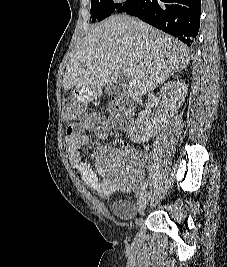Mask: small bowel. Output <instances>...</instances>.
<instances>
[{
  "instance_id": "1",
  "label": "small bowel",
  "mask_w": 227,
  "mask_h": 267,
  "mask_svg": "<svg viewBox=\"0 0 227 267\" xmlns=\"http://www.w3.org/2000/svg\"><path fill=\"white\" fill-rule=\"evenodd\" d=\"M112 123L105 122L101 116L93 115L81 128L77 124H71L66 129V144L69 160L73 168L80 174L82 181L92 190L101 195L111 193L113 185L126 187L127 185L138 184L143 177V161H139L132 166L122 163L116 165L114 172L99 162L100 177L93 170L89 159L98 160V153L93 152L89 157H85L80 152L82 146L89 144L88 132L95 130L99 139H106L110 132ZM116 144H123L121 139L116 140Z\"/></svg>"
}]
</instances>
